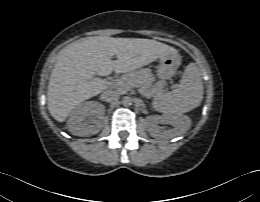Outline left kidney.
Here are the masks:
<instances>
[{
  "mask_svg": "<svg viewBox=\"0 0 260 202\" xmlns=\"http://www.w3.org/2000/svg\"><path fill=\"white\" fill-rule=\"evenodd\" d=\"M147 120L149 121V128L148 131L150 135L154 138H160L163 135H169V136H176L180 133V127L188 123L189 120L186 117H181V116H176V115H164V116H149L147 117ZM158 123L162 124H171L175 126V129L172 131H165L161 132L159 126L157 125Z\"/></svg>",
  "mask_w": 260,
  "mask_h": 202,
  "instance_id": "obj_1",
  "label": "left kidney"
}]
</instances>
